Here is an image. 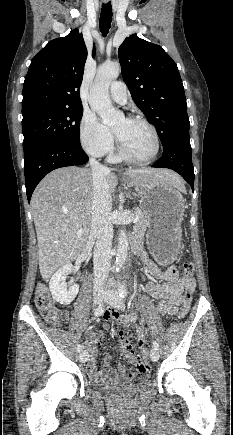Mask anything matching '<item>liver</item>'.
Returning <instances> with one entry per match:
<instances>
[{
	"instance_id": "6515ba94",
	"label": "liver",
	"mask_w": 233,
	"mask_h": 435,
	"mask_svg": "<svg viewBox=\"0 0 233 435\" xmlns=\"http://www.w3.org/2000/svg\"><path fill=\"white\" fill-rule=\"evenodd\" d=\"M137 184L161 180L181 191L180 176L166 169H129L124 173ZM110 193L118 184L110 170L105 175ZM93 178L88 168L63 167L47 174L36 187L31 210L38 240L40 273L45 281L86 248L92 217ZM78 230L83 233L78 235Z\"/></svg>"
}]
</instances>
